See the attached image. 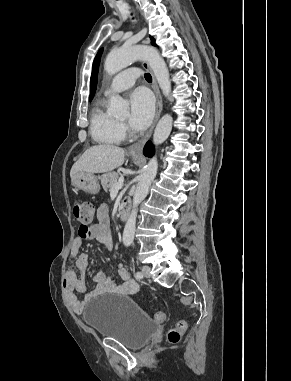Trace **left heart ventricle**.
I'll return each mask as SVG.
<instances>
[{"label":"left heart ventricle","mask_w":291,"mask_h":381,"mask_svg":"<svg viewBox=\"0 0 291 381\" xmlns=\"http://www.w3.org/2000/svg\"><path fill=\"white\" fill-rule=\"evenodd\" d=\"M126 120V117L122 118L121 121H125Z\"/></svg>","instance_id":"b2bd125f"}]
</instances>
